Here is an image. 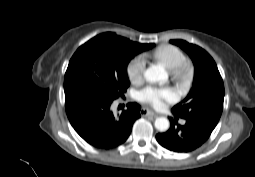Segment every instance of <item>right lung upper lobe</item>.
I'll use <instances>...</instances> for the list:
<instances>
[{
  "mask_svg": "<svg viewBox=\"0 0 255 177\" xmlns=\"http://www.w3.org/2000/svg\"><path fill=\"white\" fill-rule=\"evenodd\" d=\"M98 39H103L106 43L114 46L127 45L130 40L124 37L117 36L115 33L107 32L97 36Z\"/></svg>",
  "mask_w": 255,
  "mask_h": 177,
  "instance_id": "cb5924a9",
  "label": "right lung upper lobe"
}]
</instances>
